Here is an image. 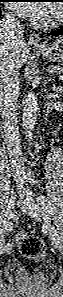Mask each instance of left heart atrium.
Here are the masks:
<instances>
[{
	"label": "left heart atrium",
	"instance_id": "39dd6f15",
	"mask_svg": "<svg viewBox=\"0 0 63 297\" xmlns=\"http://www.w3.org/2000/svg\"><path fill=\"white\" fill-rule=\"evenodd\" d=\"M11 6L19 15L35 23L48 20L51 13L50 9L43 4L13 3Z\"/></svg>",
	"mask_w": 63,
	"mask_h": 297
}]
</instances>
